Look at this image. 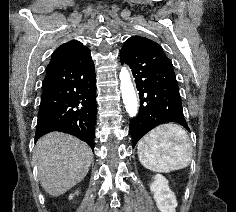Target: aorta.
Segmentation results:
<instances>
[{"mask_svg": "<svg viewBox=\"0 0 236 212\" xmlns=\"http://www.w3.org/2000/svg\"><path fill=\"white\" fill-rule=\"evenodd\" d=\"M119 78L125 109L130 117H134L138 113V100L127 67H122Z\"/></svg>", "mask_w": 236, "mask_h": 212, "instance_id": "762f6f07", "label": "aorta"}]
</instances>
